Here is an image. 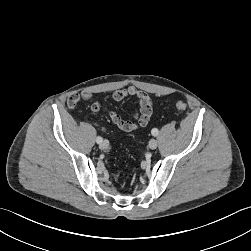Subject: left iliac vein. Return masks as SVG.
<instances>
[{"mask_svg": "<svg viewBox=\"0 0 251 251\" xmlns=\"http://www.w3.org/2000/svg\"><path fill=\"white\" fill-rule=\"evenodd\" d=\"M148 145L150 149H156L158 146V142L155 139H152L149 141Z\"/></svg>", "mask_w": 251, "mask_h": 251, "instance_id": "1", "label": "left iliac vein"}]
</instances>
